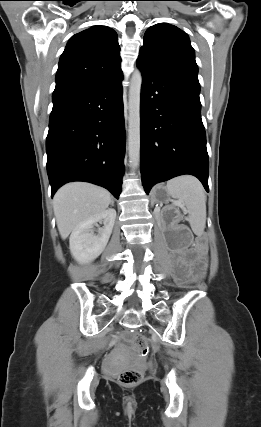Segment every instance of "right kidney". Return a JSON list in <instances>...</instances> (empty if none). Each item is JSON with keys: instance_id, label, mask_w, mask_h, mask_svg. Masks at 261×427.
I'll return each mask as SVG.
<instances>
[{"instance_id": "1", "label": "right kidney", "mask_w": 261, "mask_h": 427, "mask_svg": "<svg viewBox=\"0 0 261 427\" xmlns=\"http://www.w3.org/2000/svg\"><path fill=\"white\" fill-rule=\"evenodd\" d=\"M116 219V210L108 209L78 224L69 239L72 256L79 263H89L95 260L105 249ZM103 223L104 227L94 233V226Z\"/></svg>"}]
</instances>
